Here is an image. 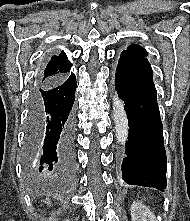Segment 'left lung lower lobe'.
Returning a JSON list of instances; mask_svg holds the SVG:
<instances>
[{"mask_svg": "<svg viewBox=\"0 0 190 221\" xmlns=\"http://www.w3.org/2000/svg\"><path fill=\"white\" fill-rule=\"evenodd\" d=\"M115 89L124 101L129 134L122 178L127 184L166 188V152L157 91L148 60L121 54Z\"/></svg>", "mask_w": 190, "mask_h": 221, "instance_id": "obj_1", "label": "left lung lower lobe"}]
</instances>
